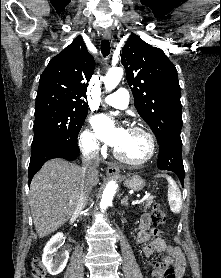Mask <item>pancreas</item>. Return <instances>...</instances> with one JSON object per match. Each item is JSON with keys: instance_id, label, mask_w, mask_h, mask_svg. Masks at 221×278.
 I'll use <instances>...</instances> for the list:
<instances>
[{"instance_id": "1", "label": "pancreas", "mask_w": 221, "mask_h": 278, "mask_svg": "<svg viewBox=\"0 0 221 278\" xmlns=\"http://www.w3.org/2000/svg\"><path fill=\"white\" fill-rule=\"evenodd\" d=\"M152 205H153V197H148L145 205L143 206L142 211H146L147 209L151 208Z\"/></svg>"}]
</instances>
